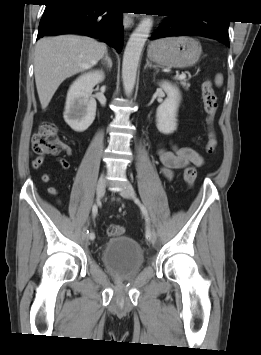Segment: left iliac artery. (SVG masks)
<instances>
[{
	"instance_id": "left-iliac-artery-1",
	"label": "left iliac artery",
	"mask_w": 261,
	"mask_h": 355,
	"mask_svg": "<svg viewBox=\"0 0 261 355\" xmlns=\"http://www.w3.org/2000/svg\"><path fill=\"white\" fill-rule=\"evenodd\" d=\"M135 201H136V203L139 204V206H140V208H141V211H142V213L144 214L145 219H146V222H147L146 233H145L146 239H147L148 241H151L153 233L151 232V229H150L149 217H148L147 210H146V208L140 203V201H139L138 199H136Z\"/></svg>"
}]
</instances>
